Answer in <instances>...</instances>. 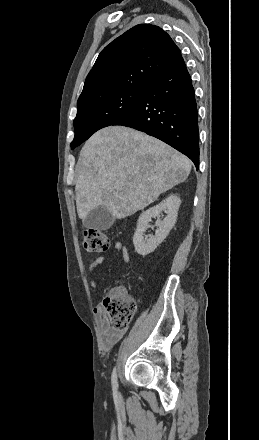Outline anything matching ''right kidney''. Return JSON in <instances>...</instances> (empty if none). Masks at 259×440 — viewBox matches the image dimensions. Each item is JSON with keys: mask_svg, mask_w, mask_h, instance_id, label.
Returning <instances> with one entry per match:
<instances>
[{"mask_svg": "<svg viewBox=\"0 0 259 440\" xmlns=\"http://www.w3.org/2000/svg\"><path fill=\"white\" fill-rule=\"evenodd\" d=\"M181 200L176 195H170L158 205L147 209L138 218L137 228L133 236V244L135 251L142 256L152 253L168 236L170 230L173 228ZM165 212L167 216L161 220V214ZM152 218H157L155 235L144 239V233L149 227V222Z\"/></svg>", "mask_w": 259, "mask_h": 440, "instance_id": "right-kidney-1", "label": "right kidney"}]
</instances>
